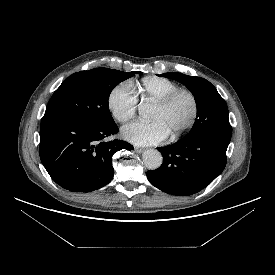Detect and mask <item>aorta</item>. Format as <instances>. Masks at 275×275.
Wrapping results in <instances>:
<instances>
[{"mask_svg": "<svg viewBox=\"0 0 275 275\" xmlns=\"http://www.w3.org/2000/svg\"><path fill=\"white\" fill-rule=\"evenodd\" d=\"M150 111H151V106L147 103L141 104L138 108L139 115L143 118H147ZM142 158H143L144 165L149 170L158 169L161 166L162 160H163L161 153L155 149H148L144 151Z\"/></svg>", "mask_w": 275, "mask_h": 275, "instance_id": "762f6f07", "label": "aorta"}]
</instances>
